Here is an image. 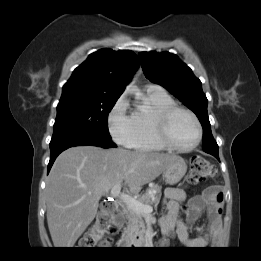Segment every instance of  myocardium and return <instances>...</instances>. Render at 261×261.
Masks as SVG:
<instances>
[{
	"label": "myocardium",
	"mask_w": 261,
	"mask_h": 261,
	"mask_svg": "<svg viewBox=\"0 0 261 261\" xmlns=\"http://www.w3.org/2000/svg\"><path fill=\"white\" fill-rule=\"evenodd\" d=\"M177 112H184L188 114L194 121L196 128H197V138L193 144L190 146L182 147L175 144L169 133V123L172 116ZM154 128L157 135L158 140L168 149L178 151V152H188L195 149L201 142L203 137V129L201 122L197 115L190 109L179 106V105H172L164 110L160 111L154 116Z\"/></svg>",
	"instance_id": "f54148a6"
}]
</instances>
